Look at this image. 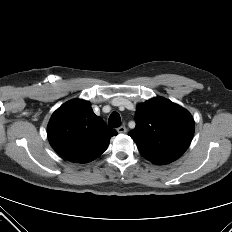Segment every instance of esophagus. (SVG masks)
<instances>
[{
	"label": "esophagus",
	"mask_w": 232,
	"mask_h": 232,
	"mask_svg": "<svg viewBox=\"0 0 232 232\" xmlns=\"http://www.w3.org/2000/svg\"><path fill=\"white\" fill-rule=\"evenodd\" d=\"M117 132L118 133H126L127 128L125 126H120V127L117 128Z\"/></svg>",
	"instance_id": "34e87169"
}]
</instances>
